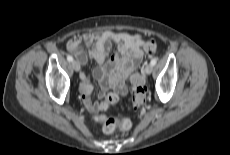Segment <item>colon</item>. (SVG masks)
<instances>
[{
	"label": "colon",
	"mask_w": 230,
	"mask_h": 155,
	"mask_svg": "<svg viewBox=\"0 0 230 155\" xmlns=\"http://www.w3.org/2000/svg\"><path fill=\"white\" fill-rule=\"evenodd\" d=\"M144 50L150 55L157 52V43L154 40L146 42ZM110 103L115 102V98H109ZM132 102L135 110H139L146 103V86L143 82L141 74H135L132 77ZM95 120L101 124L105 133H112L114 130L128 131L132 127V123L128 119L107 118L103 115L96 116Z\"/></svg>",
	"instance_id": "colon-1"
}]
</instances>
